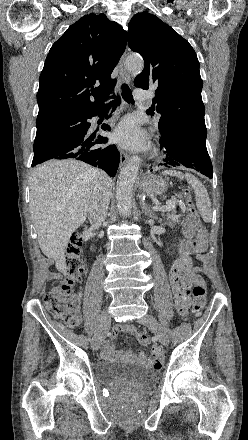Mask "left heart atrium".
<instances>
[{
	"mask_svg": "<svg viewBox=\"0 0 248 440\" xmlns=\"http://www.w3.org/2000/svg\"><path fill=\"white\" fill-rule=\"evenodd\" d=\"M113 140L129 150H140L146 147L143 131L133 117H126L117 125L113 132Z\"/></svg>",
	"mask_w": 248,
	"mask_h": 440,
	"instance_id": "obj_1",
	"label": "left heart atrium"
}]
</instances>
